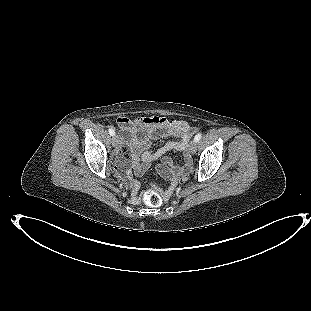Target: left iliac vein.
<instances>
[{"instance_id":"obj_1","label":"left iliac vein","mask_w":311,"mask_h":311,"mask_svg":"<svg viewBox=\"0 0 311 311\" xmlns=\"http://www.w3.org/2000/svg\"><path fill=\"white\" fill-rule=\"evenodd\" d=\"M197 149V142L195 140L190 141L188 145V150L190 153L194 154Z\"/></svg>"}]
</instances>
